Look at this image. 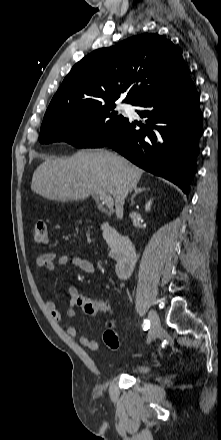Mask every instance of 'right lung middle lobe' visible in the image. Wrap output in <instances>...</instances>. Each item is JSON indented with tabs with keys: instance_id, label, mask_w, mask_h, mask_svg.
Returning a JSON list of instances; mask_svg holds the SVG:
<instances>
[{
	"instance_id": "obj_1",
	"label": "right lung middle lobe",
	"mask_w": 221,
	"mask_h": 440,
	"mask_svg": "<svg viewBox=\"0 0 221 440\" xmlns=\"http://www.w3.org/2000/svg\"><path fill=\"white\" fill-rule=\"evenodd\" d=\"M115 107V103L96 107L76 104L46 111L39 141H65L78 148L102 147L128 120Z\"/></svg>"
}]
</instances>
